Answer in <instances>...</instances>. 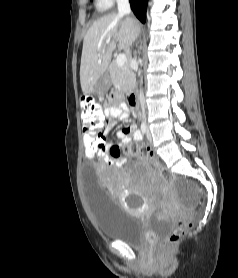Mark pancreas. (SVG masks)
Returning <instances> with one entry per match:
<instances>
[{
	"instance_id": "1",
	"label": "pancreas",
	"mask_w": 238,
	"mask_h": 278,
	"mask_svg": "<svg viewBox=\"0 0 238 278\" xmlns=\"http://www.w3.org/2000/svg\"><path fill=\"white\" fill-rule=\"evenodd\" d=\"M110 75L113 84L124 93L132 91L135 87V74L130 65L126 63L124 66H118L116 61L110 65Z\"/></svg>"
}]
</instances>
